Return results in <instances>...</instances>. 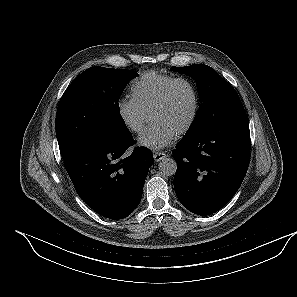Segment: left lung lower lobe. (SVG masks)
Wrapping results in <instances>:
<instances>
[{
    "label": "left lung lower lobe",
    "mask_w": 297,
    "mask_h": 297,
    "mask_svg": "<svg viewBox=\"0 0 297 297\" xmlns=\"http://www.w3.org/2000/svg\"><path fill=\"white\" fill-rule=\"evenodd\" d=\"M174 188L192 213L220 210L240 187L250 162L249 119L245 113L185 136L173 151Z\"/></svg>",
    "instance_id": "left-lung-lower-lobe-1"
}]
</instances>
